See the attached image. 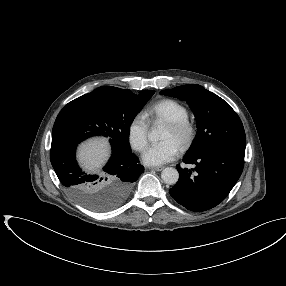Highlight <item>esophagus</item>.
Returning a JSON list of instances; mask_svg holds the SVG:
<instances>
[{
    "label": "esophagus",
    "instance_id": "1",
    "mask_svg": "<svg viewBox=\"0 0 286 286\" xmlns=\"http://www.w3.org/2000/svg\"><path fill=\"white\" fill-rule=\"evenodd\" d=\"M150 170H155V171H162L164 169L163 166H150L148 167Z\"/></svg>",
    "mask_w": 286,
    "mask_h": 286
}]
</instances>
